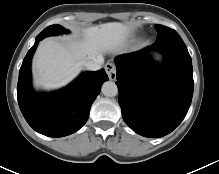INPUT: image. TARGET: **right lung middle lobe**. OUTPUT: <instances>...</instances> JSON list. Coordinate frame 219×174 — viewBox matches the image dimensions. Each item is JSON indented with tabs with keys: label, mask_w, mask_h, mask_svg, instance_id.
Listing matches in <instances>:
<instances>
[{
	"label": "right lung middle lobe",
	"mask_w": 219,
	"mask_h": 174,
	"mask_svg": "<svg viewBox=\"0 0 219 174\" xmlns=\"http://www.w3.org/2000/svg\"><path fill=\"white\" fill-rule=\"evenodd\" d=\"M68 30L64 29L61 25H51L45 28L36 38L43 39L47 36L58 35L61 33H67Z\"/></svg>",
	"instance_id": "right-lung-middle-lobe-1"
}]
</instances>
